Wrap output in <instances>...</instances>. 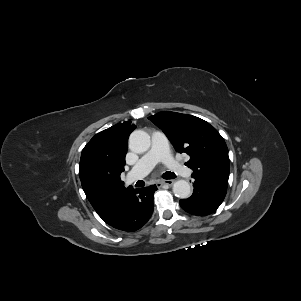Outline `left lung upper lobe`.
<instances>
[{"instance_id":"1","label":"left lung upper lobe","mask_w":301,"mask_h":301,"mask_svg":"<svg viewBox=\"0 0 301 301\" xmlns=\"http://www.w3.org/2000/svg\"><path fill=\"white\" fill-rule=\"evenodd\" d=\"M166 134L179 153L190 156L192 177L228 186L229 157L219 132L206 121L176 112L163 111L148 118Z\"/></svg>"}]
</instances>
